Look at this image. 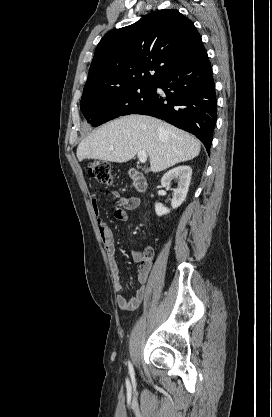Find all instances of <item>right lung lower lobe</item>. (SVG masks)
I'll return each instance as SVG.
<instances>
[{
  "label": "right lung lower lobe",
  "instance_id": "1",
  "mask_svg": "<svg viewBox=\"0 0 272 417\" xmlns=\"http://www.w3.org/2000/svg\"><path fill=\"white\" fill-rule=\"evenodd\" d=\"M154 84V97L133 113L157 117L194 134L209 153L217 103L211 64L204 46ZM157 87L165 94L157 93Z\"/></svg>",
  "mask_w": 272,
  "mask_h": 417
}]
</instances>
